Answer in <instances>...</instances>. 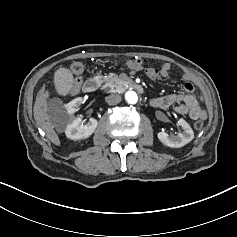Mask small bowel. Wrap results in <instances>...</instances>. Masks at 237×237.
<instances>
[{"label":"small bowel","mask_w":237,"mask_h":237,"mask_svg":"<svg viewBox=\"0 0 237 237\" xmlns=\"http://www.w3.org/2000/svg\"><path fill=\"white\" fill-rule=\"evenodd\" d=\"M128 67L135 71H141V68L135 66L134 61H128ZM170 63H163L159 68L160 78L167 79L170 75ZM182 77L185 80L183 85L184 93L169 94L157 97L151 101L152 106L160 109L173 108L179 114H187L192 119H205L207 114L205 109L200 105L197 98L193 95L194 92V77L189 72H183ZM81 80L76 78L70 88L71 94H76L79 91Z\"/></svg>","instance_id":"1"}]
</instances>
